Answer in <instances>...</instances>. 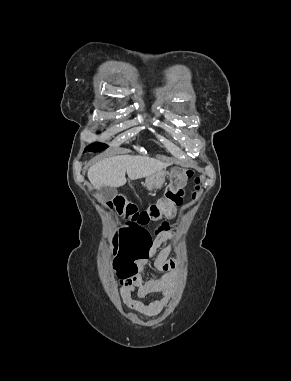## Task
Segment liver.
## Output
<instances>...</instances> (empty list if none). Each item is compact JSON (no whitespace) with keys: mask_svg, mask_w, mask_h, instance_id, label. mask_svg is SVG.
Wrapping results in <instances>:
<instances>
[{"mask_svg":"<svg viewBox=\"0 0 291 381\" xmlns=\"http://www.w3.org/2000/svg\"><path fill=\"white\" fill-rule=\"evenodd\" d=\"M169 166V163L146 156L117 155L106 157L88 170V179L95 189L104 186L121 187L126 184L125 174L136 180L149 177Z\"/></svg>","mask_w":291,"mask_h":381,"instance_id":"obj_1","label":"liver"}]
</instances>
